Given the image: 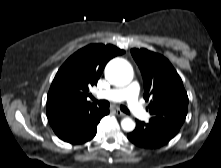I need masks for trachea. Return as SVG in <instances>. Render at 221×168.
<instances>
[{"mask_svg": "<svg viewBox=\"0 0 221 168\" xmlns=\"http://www.w3.org/2000/svg\"><path fill=\"white\" fill-rule=\"evenodd\" d=\"M94 101H95L100 107H105V108H107V107L110 106V103H109L107 100H99V101H97V100L94 99ZM120 109H121L124 113H127V114L130 113L129 110H128L125 106H123V105L120 106Z\"/></svg>", "mask_w": 221, "mask_h": 168, "instance_id": "trachea-1", "label": "trachea"}]
</instances>
